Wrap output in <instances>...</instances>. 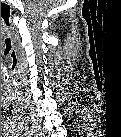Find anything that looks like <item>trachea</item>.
I'll use <instances>...</instances> for the list:
<instances>
[{
	"instance_id": "3493384b",
	"label": "trachea",
	"mask_w": 121,
	"mask_h": 137,
	"mask_svg": "<svg viewBox=\"0 0 121 137\" xmlns=\"http://www.w3.org/2000/svg\"><path fill=\"white\" fill-rule=\"evenodd\" d=\"M1 16H2L3 29L7 35L9 46L13 48L15 46V32H14V26H13L10 8L8 5L4 4L3 6H1ZM11 56L15 60L16 58L15 49H13Z\"/></svg>"
}]
</instances>
